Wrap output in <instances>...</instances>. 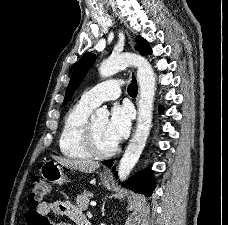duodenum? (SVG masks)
Masks as SVG:
<instances>
[{
	"label": "duodenum",
	"instance_id": "duodenum-1",
	"mask_svg": "<svg viewBox=\"0 0 228 225\" xmlns=\"http://www.w3.org/2000/svg\"><path fill=\"white\" fill-rule=\"evenodd\" d=\"M77 225H90L89 221L83 216L78 220Z\"/></svg>",
	"mask_w": 228,
	"mask_h": 225
}]
</instances>
